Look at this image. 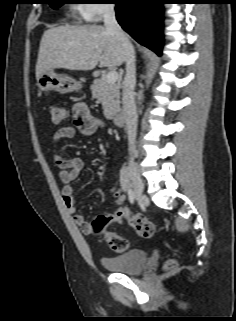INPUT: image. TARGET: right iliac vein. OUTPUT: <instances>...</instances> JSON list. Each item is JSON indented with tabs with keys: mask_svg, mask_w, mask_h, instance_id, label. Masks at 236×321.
Segmentation results:
<instances>
[{
	"mask_svg": "<svg viewBox=\"0 0 236 321\" xmlns=\"http://www.w3.org/2000/svg\"><path fill=\"white\" fill-rule=\"evenodd\" d=\"M129 168H130L129 174L133 185L135 199L140 204H146L148 200L143 192L144 184L141 177L139 176L138 168L133 162H130Z\"/></svg>",
	"mask_w": 236,
	"mask_h": 321,
	"instance_id": "1",
	"label": "right iliac vein"
}]
</instances>
